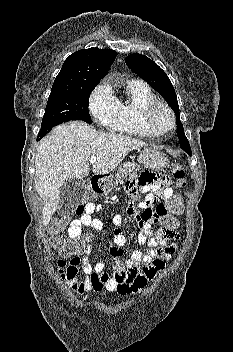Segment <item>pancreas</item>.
<instances>
[{
    "label": "pancreas",
    "instance_id": "cf45deb5",
    "mask_svg": "<svg viewBox=\"0 0 233 352\" xmlns=\"http://www.w3.org/2000/svg\"><path fill=\"white\" fill-rule=\"evenodd\" d=\"M139 169V165L134 162H127L120 166L115 174V180L112 182L111 189L115 188L123 179L128 178L133 180L137 178V171Z\"/></svg>",
    "mask_w": 233,
    "mask_h": 352
}]
</instances>
